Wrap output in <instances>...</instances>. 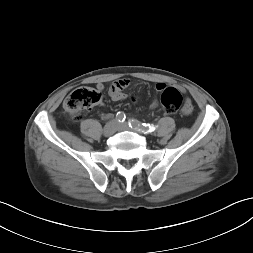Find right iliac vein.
Segmentation results:
<instances>
[{"label": "right iliac vein", "instance_id": "obj_1", "mask_svg": "<svg viewBox=\"0 0 253 253\" xmlns=\"http://www.w3.org/2000/svg\"><path fill=\"white\" fill-rule=\"evenodd\" d=\"M119 128V123L116 120L109 121L103 128V134L106 137L113 135Z\"/></svg>", "mask_w": 253, "mask_h": 253}]
</instances>
